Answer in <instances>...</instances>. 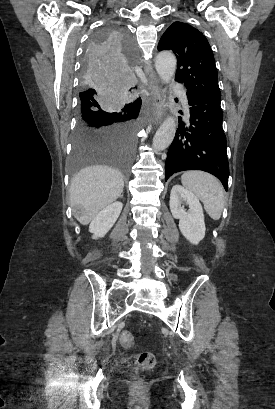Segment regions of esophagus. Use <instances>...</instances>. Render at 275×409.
I'll use <instances>...</instances> for the list:
<instances>
[{"mask_svg": "<svg viewBox=\"0 0 275 409\" xmlns=\"http://www.w3.org/2000/svg\"><path fill=\"white\" fill-rule=\"evenodd\" d=\"M146 77L148 87L153 99V116L156 122H160L165 114V106L162 98V88L158 77L148 68H146Z\"/></svg>", "mask_w": 275, "mask_h": 409, "instance_id": "34e87169", "label": "esophagus"}]
</instances>
